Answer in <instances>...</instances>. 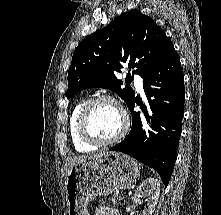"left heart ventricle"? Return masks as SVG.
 I'll return each instance as SVG.
<instances>
[{"mask_svg": "<svg viewBox=\"0 0 221 215\" xmlns=\"http://www.w3.org/2000/svg\"><path fill=\"white\" fill-rule=\"evenodd\" d=\"M122 127V116L117 107L110 102L98 103L91 111L90 131L99 138L114 137Z\"/></svg>", "mask_w": 221, "mask_h": 215, "instance_id": "1", "label": "left heart ventricle"}]
</instances>
